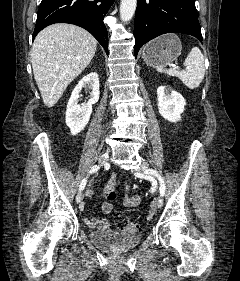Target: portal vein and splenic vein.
Returning a JSON list of instances; mask_svg holds the SVG:
<instances>
[{
	"label": "portal vein and splenic vein",
	"mask_w": 240,
	"mask_h": 281,
	"mask_svg": "<svg viewBox=\"0 0 240 281\" xmlns=\"http://www.w3.org/2000/svg\"><path fill=\"white\" fill-rule=\"evenodd\" d=\"M172 67H174L175 69H179V67H178V66H175V65H172Z\"/></svg>",
	"instance_id": "portal-vein-and-splenic-vein-1"
}]
</instances>
